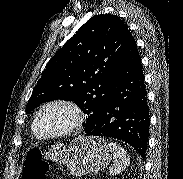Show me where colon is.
<instances>
[{"mask_svg":"<svg viewBox=\"0 0 183 179\" xmlns=\"http://www.w3.org/2000/svg\"><path fill=\"white\" fill-rule=\"evenodd\" d=\"M47 164L37 148L30 149L25 158L22 179H46Z\"/></svg>","mask_w":183,"mask_h":179,"instance_id":"colon-1","label":"colon"}]
</instances>
